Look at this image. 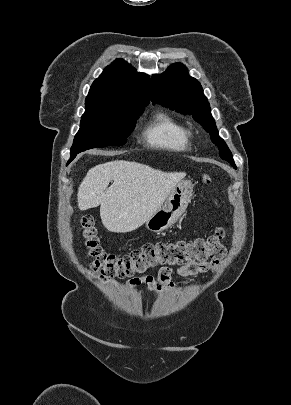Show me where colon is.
Returning <instances> with one entry per match:
<instances>
[{"mask_svg": "<svg viewBox=\"0 0 291 405\" xmlns=\"http://www.w3.org/2000/svg\"><path fill=\"white\" fill-rule=\"evenodd\" d=\"M203 181L209 184L211 179L204 175ZM81 237L92 270L104 280L130 277L156 267H182L219 260L225 253L223 229H217L207 238L146 243L127 254L117 255L103 250L94 218L85 215L81 219Z\"/></svg>", "mask_w": 291, "mask_h": 405, "instance_id": "obj_1", "label": "colon"}]
</instances>
